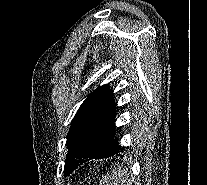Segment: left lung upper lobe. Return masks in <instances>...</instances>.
<instances>
[{"instance_id":"5c2ea615","label":"left lung upper lobe","mask_w":207,"mask_h":185,"mask_svg":"<svg viewBox=\"0 0 207 185\" xmlns=\"http://www.w3.org/2000/svg\"><path fill=\"white\" fill-rule=\"evenodd\" d=\"M116 109L113 91L107 84L95 89L81 104L67 136L65 173L84 155L99 153L108 147L115 132Z\"/></svg>"}]
</instances>
